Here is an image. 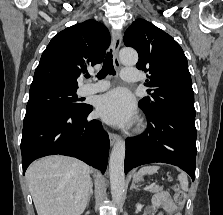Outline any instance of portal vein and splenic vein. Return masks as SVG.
Here are the masks:
<instances>
[{
    "mask_svg": "<svg viewBox=\"0 0 223 215\" xmlns=\"http://www.w3.org/2000/svg\"><path fill=\"white\" fill-rule=\"evenodd\" d=\"M154 183H152V185H149L148 183L145 185L146 187H145V189H148V190H151L152 188H157V180L155 179L154 181H153Z\"/></svg>",
    "mask_w": 223,
    "mask_h": 215,
    "instance_id": "1",
    "label": "portal vein and splenic vein"
}]
</instances>
